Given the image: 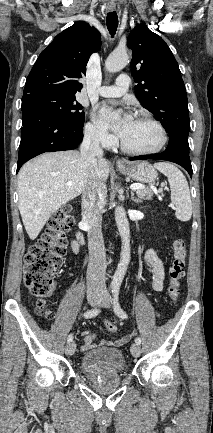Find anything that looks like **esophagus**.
Returning a JSON list of instances; mask_svg holds the SVG:
<instances>
[{
	"instance_id": "obj_1",
	"label": "esophagus",
	"mask_w": 213,
	"mask_h": 433,
	"mask_svg": "<svg viewBox=\"0 0 213 433\" xmlns=\"http://www.w3.org/2000/svg\"><path fill=\"white\" fill-rule=\"evenodd\" d=\"M107 9H108V11H110V12H112V11H114L115 9H116V6L114 5V4H109L108 6H107ZM116 165L118 166V167H122V166H124L125 164H124V162L122 161V160H117L116 161Z\"/></svg>"
}]
</instances>
